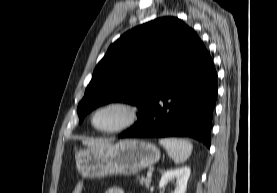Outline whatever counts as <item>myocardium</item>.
<instances>
[{"mask_svg": "<svg viewBox=\"0 0 277 193\" xmlns=\"http://www.w3.org/2000/svg\"><path fill=\"white\" fill-rule=\"evenodd\" d=\"M110 107H117L121 108L126 112V119L117 127L112 128V129H100L98 128L95 123H94V117L95 115L105 109V108H110ZM140 113L138 107L127 100L123 99H113V100H108L105 102L100 103L97 105L91 112L90 114V124L94 130H96L99 133L103 134H117L124 132L130 128H132L139 120Z\"/></svg>", "mask_w": 277, "mask_h": 193, "instance_id": "1", "label": "myocardium"}]
</instances>
